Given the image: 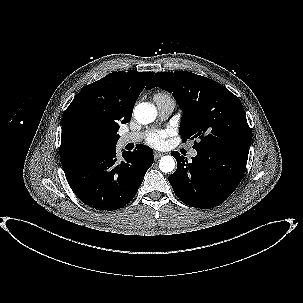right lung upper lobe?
<instances>
[{"label":"right lung upper lobe","mask_w":303,"mask_h":303,"mask_svg":"<svg viewBox=\"0 0 303 303\" xmlns=\"http://www.w3.org/2000/svg\"><path fill=\"white\" fill-rule=\"evenodd\" d=\"M154 72H113L85 86L62 120L60 159L63 169L114 147L119 125L131 120L136 99ZM99 139L92 143L86 134Z\"/></svg>","instance_id":"right-lung-upper-lobe-1"}]
</instances>
